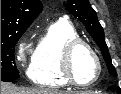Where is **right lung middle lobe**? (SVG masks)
Here are the masks:
<instances>
[{"label": "right lung middle lobe", "instance_id": "obj_1", "mask_svg": "<svg viewBox=\"0 0 121 94\" xmlns=\"http://www.w3.org/2000/svg\"><path fill=\"white\" fill-rule=\"evenodd\" d=\"M25 31L18 30L1 34V81L11 82L19 78V71L14 60V48Z\"/></svg>", "mask_w": 121, "mask_h": 94}]
</instances>
